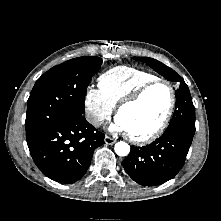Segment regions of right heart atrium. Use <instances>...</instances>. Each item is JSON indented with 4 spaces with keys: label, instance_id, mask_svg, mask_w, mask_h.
<instances>
[{
    "label": "right heart atrium",
    "instance_id": "1",
    "mask_svg": "<svg viewBox=\"0 0 221 221\" xmlns=\"http://www.w3.org/2000/svg\"><path fill=\"white\" fill-rule=\"evenodd\" d=\"M84 107L87 121L95 128L100 127L112 115V107L96 88L90 87L87 90Z\"/></svg>",
    "mask_w": 221,
    "mask_h": 221
}]
</instances>
